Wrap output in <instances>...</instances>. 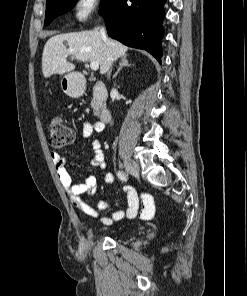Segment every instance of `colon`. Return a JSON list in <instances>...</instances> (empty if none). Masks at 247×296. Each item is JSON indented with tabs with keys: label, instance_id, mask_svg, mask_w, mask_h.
Listing matches in <instances>:
<instances>
[{
	"label": "colon",
	"instance_id": "1",
	"mask_svg": "<svg viewBox=\"0 0 247 296\" xmlns=\"http://www.w3.org/2000/svg\"><path fill=\"white\" fill-rule=\"evenodd\" d=\"M48 137L53 148L61 149L74 142L75 133L61 118L55 117L49 123Z\"/></svg>",
	"mask_w": 247,
	"mask_h": 296
}]
</instances>
